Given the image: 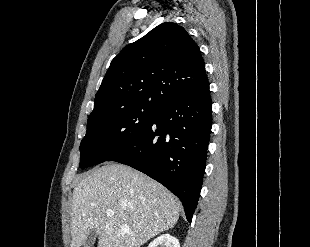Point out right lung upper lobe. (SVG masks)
<instances>
[{
    "instance_id": "1",
    "label": "right lung upper lobe",
    "mask_w": 310,
    "mask_h": 247,
    "mask_svg": "<svg viewBox=\"0 0 310 247\" xmlns=\"http://www.w3.org/2000/svg\"><path fill=\"white\" fill-rule=\"evenodd\" d=\"M207 82L198 45L183 27L165 22L112 60L88 120L125 108L158 110Z\"/></svg>"
}]
</instances>
